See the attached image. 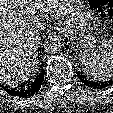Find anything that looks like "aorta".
I'll return each instance as SVG.
<instances>
[{"label":"aorta","instance_id":"aorta-1","mask_svg":"<svg viewBox=\"0 0 113 113\" xmlns=\"http://www.w3.org/2000/svg\"><path fill=\"white\" fill-rule=\"evenodd\" d=\"M45 51L47 53H56L62 47L61 40L58 37H48L44 42Z\"/></svg>","mask_w":113,"mask_h":113}]
</instances>
